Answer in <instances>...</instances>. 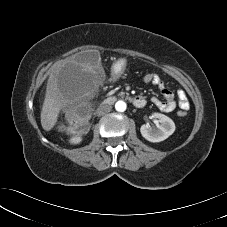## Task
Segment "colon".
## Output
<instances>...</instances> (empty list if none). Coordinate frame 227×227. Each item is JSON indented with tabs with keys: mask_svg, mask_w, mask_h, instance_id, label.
Here are the masks:
<instances>
[{
	"mask_svg": "<svg viewBox=\"0 0 227 227\" xmlns=\"http://www.w3.org/2000/svg\"><path fill=\"white\" fill-rule=\"evenodd\" d=\"M157 74L154 72H147L142 76L143 82L147 84H153L156 80ZM179 116H185L186 111L180 110L178 112ZM88 110L85 107H80L74 111L70 116V126L67 128L69 132L75 133L81 131L87 121Z\"/></svg>",
	"mask_w": 227,
	"mask_h": 227,
	"instance_id": "5ec220e1",
	"label": "colon"
}]
</instances>
